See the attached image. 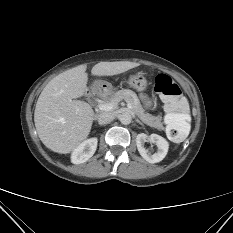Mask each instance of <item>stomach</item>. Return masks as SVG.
Segmentation results:
<instances>
[{"mask_svg":"<svg viewBox=\"0 0 233 233\" xmlns=\"http://www.w3.org/2000/svg\"><path fill=\"white\" fill-rule=\"evenodd\" d=\"M127 83L130 87L136 89L138 92L144 91L148 85L146 77H144L140 73L131 75ZM95 84L99 88V90L102 92L109 93L113 90L112 85L108 82L99 80V81H96ZM144 105L146 108H151L152 100H146Z\"/></svg>","mask_w":233,"mask_h":233,"instance_id":"stomach-1","label":"stomach"}]
</instances>
